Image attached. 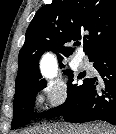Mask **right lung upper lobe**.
<instances>
[{
    "instance_id": "right-lung-upper-lobe-1",
    "label": "right lung upper lobe",
    "mask_w": 116,
    "mask_h": 134,
    "mask_svg": "<svg viewBox=\"0 0 116 134\" xmlns=\"http://www.w3.org/2000/svg\"><path fill=\"white\" fill-rule=\"evenodd\" d=\"M78 40H83L89 60L116 42V1L53 0L39 9L19 52L15 95L42 80L39 60L45 51H54L62 68L63 58L73 53L69 42L76 46Z\"/></svg>"
}]
</instances>
